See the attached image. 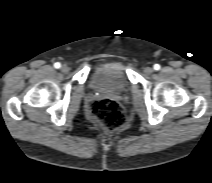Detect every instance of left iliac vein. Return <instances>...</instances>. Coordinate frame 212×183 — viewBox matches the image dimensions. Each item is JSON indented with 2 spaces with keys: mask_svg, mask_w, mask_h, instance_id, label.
Masks as SVG:
<instances>
[{
  "mask_svg": "<svg viewBox=\"0 0 212 183\" xmlns=\"http://www.w3.org/2000/svg\"><path fill=\"white\" fill-rule=\"evenodd\" d=\"M144 73H145L146 75H151V74L153 73V68H151V67H146V68L144 69Z\"/></svg>",
  "mask_w": 212,
  "mask_h": 183,
  "instance_id": "4c4485c4",
  "label": "left iliac vein"
}]
</instances>
